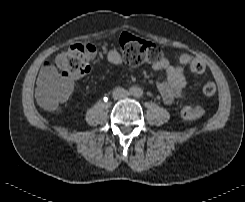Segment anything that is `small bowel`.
<instances>
[{
	"label": "small bowel",
	"mask_w": 245,
	"mask_h": 202,
	"mask_svg": "<svg viewBox=\"0 0 245 202\" xmlns=\"http://www.w3.org/2000/svg\"><path fill=\"white\" fill-rule=\"evenodd\" d=\"M105 57L110 64L119 65L122 62V56L119 51L110 49L106 52ZM153 68L165 74V79L157 82V89L160 92L163 101L166 104H171L175 98L181 97L184 94L187 79L182 67L173 65L166 58L153 64ZM59 82L61 86L68 90L69 95L74 88V82L67 77L57 78L54 72L46 67L39 74L37 81L38 91L44 87L52 86Z\"/></svg>",
	"instance_id": "c3829d8e"
}]
</instances>
